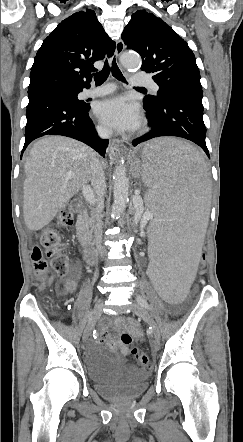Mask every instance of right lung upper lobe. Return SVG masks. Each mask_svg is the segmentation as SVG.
<instances>
[{
  "instance_id": "obj_1",
  "label": "right lung upper lobe",
  "mask_w": 243,
  "mask_h": 442,
  "mask_svg": "<svg viewBox=\"0 0 243 442\" xmlns=\"http://www.w3.org/2000/svg\"><path fill=\"white\" fill-rule=\"evenodd\" d=\"M115 43L93 10L74 13L63 20L43 41L34 59L28 89L60 86L81 91L90 85L93 63L111 57Z\"/></svg>"
}]
</instances>
